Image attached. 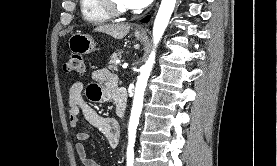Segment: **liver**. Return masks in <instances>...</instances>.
<instances>
[{"instance_id":"obj_1","label":"liver","mask_w":277,"mask_h":166,"mask_svg":"<svg viewBox=\"0 0 277 166\" xmlns=\"http://www.w3.org/2000/svg\"><path fill=\"white\" fill-rule=\"evenodd\" d=\"M131 28L130 24L116 23V24H104L96 27L95 32L105 33L112 36L115 39H123Z\"/></svg>"}]
</instances>
